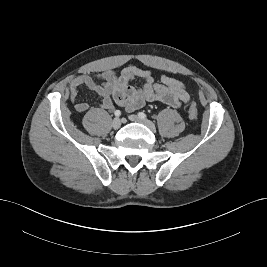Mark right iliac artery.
Listing matches in <instances>:
<instances>
[{
	"mask_svg": "<svg viewBox=\"0 0 267 267\" xmlns=\"http://www.w3.org/2000/svg\"><path fill=\"white\" fill-rule=\"evenodd\" d=\"M114 114H115L116 117H119V116H121V111L120 110H116L114 112Z\"/></svg>",
	"mask_w": 267,
	"mask_h": 267,
	"instance_id": "right-iliac-artery-1",
	"label": "right iliac artery"
}]
</instances>
